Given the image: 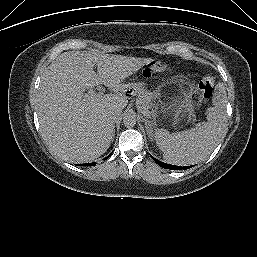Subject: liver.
<instances>
[{
  "instance_id": "obj_1",
  "label": "liver",
  "mask_w": 257,
  "mask_h": 257,
  "mask_svg": "<svg viewBox=\"0 0 257 257\" xmlns=\"http://www.w3.org/2000/svg\"><path fill=\"white\" fill-rule=\"evenodd\" d=\"M151 61L93 50L59 55L45 69L37 96L42 137L51 151L70 163L104 154L115 133L109 114L121 113L128 104L124 94L128 86L122 82ZM100 84L114 94L85 100L83 91Z\"/></svg>"
}]
</instances>
